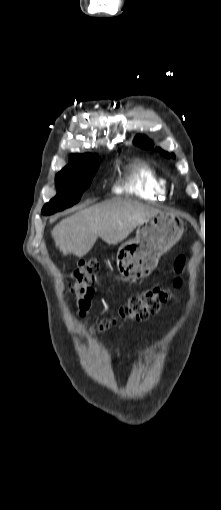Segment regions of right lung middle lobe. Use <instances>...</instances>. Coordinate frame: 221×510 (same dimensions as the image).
Masks as SVG:
<instances>
[{"instance_id":"right-lung-middle-lobe-1","label":"right lung middle lobe","mask_w":221,"mask_h":510,"mask_svg":"<svg viewBox=\"0 0 221 510\" xmlns=\"http://www.w3.org/2000/svg\"><path fill=\"white\" fill-rule=\"evenodd\" d=\"M99 159H91L78 166H66L55 178L57 195L42 209L44 215L64 210L77 203L91 184L98 169Z\"/></svg>"}]
</instances>
